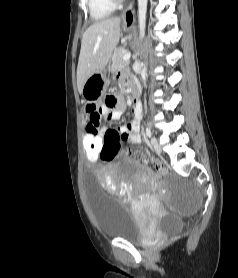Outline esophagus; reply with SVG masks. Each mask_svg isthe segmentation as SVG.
<instances>
[{
    "label": "esophagus",
    "instance_id": "esophagus-1",
    "mask_svg": "<svg viewBox=\"0 0 238 278\" xmlns=\"http://www.w3.org/2000/svg\"><path fill=\"white\" fill-rule=\"evenodd\" d=\"M123 22L126 25H131L135 22L134 2H132L123 13Z\"/></svg>",
    "mask_w": 238,
    "mask_h": 278
}]
</instances>
